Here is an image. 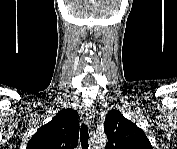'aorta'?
<instances>
[{"label":"aorta","instance_id":"obj_1","mask_svg":"<svg viewBox=\"0 0 177 149\" xmlns=\"http://www.w3.org/2000/svg\"><path fill=\"white\" fill-rule=\"evenodd\" d=\"M106 142H107V138L105 135H95L91 139V147L93 149H101L105 146Z\"/></svg>","mask_w":177,"mask_h":149}]
</instances>
